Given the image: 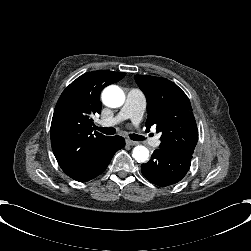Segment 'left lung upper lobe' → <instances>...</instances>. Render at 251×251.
Returning <instances> with one entry per match:
<instances>
[{
  "mask_svg": "<svg viewBox=\"0 0 251 251\" xmlns=\"http://www.w3.org/2000/svg\"><path fill=\"white\" fill-rule=\"evenodd\" d=\"M136 83L147 98L146 130L156 126L161 132L160 148L192 155L198 141V130L186 94L168 79L135 75Z\"/></svg>",
  "mask_w": 251,
  "mask_h": 251,
  "instance_id": "obj_1",
  "label": "left lung upper lobe"
}]
</instances>
